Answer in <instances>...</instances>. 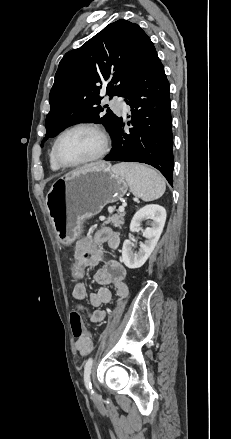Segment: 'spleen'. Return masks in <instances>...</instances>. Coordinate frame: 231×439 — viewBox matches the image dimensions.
<instances>
[{"instance_id":"3e777b00","label":"spleen","mask_w":231,"mask_h":439,"mask_svg":"<svg viewBox=\"0 0 231 439\" xmlns=\"http://www.w3.org/2000/svg\"><path fill=\"white\" fill-rule=\"evenodd\" d=\"M113 171L124 176L131 192L143 201L160 198L166 189L163 177L155 170L137 163H120Z\"/></svg>"}]
</instances>
